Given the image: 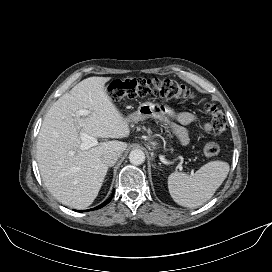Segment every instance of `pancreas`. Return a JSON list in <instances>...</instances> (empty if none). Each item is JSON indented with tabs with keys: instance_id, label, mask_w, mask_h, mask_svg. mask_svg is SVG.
Masks as SVG:
<instances>
[{
	"instance_id": "1",
	"label": "pancreas",
	"mask_w": 272,
	"mask_h": 272,
	"mask_svg": "<svg viewBox=\"0 0 272 272\" xmlns=\"http://www.w3.org/2000/svg\"><path fill=\"white\" fill-rule=\"evenodd\" d=\"M143 129L145 130V128H143ZM147 133H148V134H151V131H150V129H148V130H147Z\"/></svg>"
}]
</instances>
